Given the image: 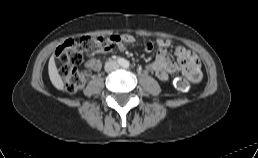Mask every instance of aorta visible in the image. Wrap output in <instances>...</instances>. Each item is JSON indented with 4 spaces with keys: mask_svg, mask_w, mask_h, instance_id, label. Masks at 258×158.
Listing matches in <instances>:
<instances>
[{
    "mask_svg": "<svg viewBox=\"0 0 258 158\" xmlns=\"http://www.w3.org/2000/svg\"><path fill=\"white\" fill-rule=\"evenodd\" d=\"M123 67H129V62L128 61H124L122 64Z\"/></svg>",
    "mask_w": 258,
    "mask_h": 158,
    "instance_id": "aorta-1",
    "label": "aorta"
}]
</instances>
